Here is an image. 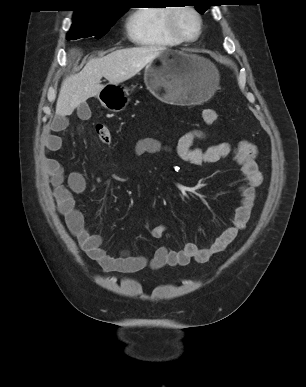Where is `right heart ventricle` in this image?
I'll return each instance as SVG.
<instances>
[{
  "mask_svg": "<svg viewBox=\"0 0 306 387\" xmlns=\"http://www.w3.org/2000/svg\"><path fill=\"white\" fill-rule=\"evenodd\" d=\"M170 6H148L134 10L126 20L129 40L148 48H169L182 42L174 38L167 28Z\"/></svg>",
  "mask_w": 306,
  "mask_h": 387,
  "instance_id": "obj_1",
  "label": "right heart ventricle"
}]
</instances>
